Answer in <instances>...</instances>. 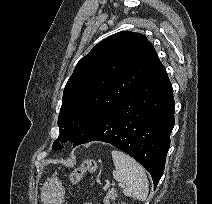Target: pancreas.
Returning a JSON list of instances; mask_svg holds the SVG:
<instances>
[{
    "label": "pancreas",
    "instance_id": "cf45deb5",
    "mask_svg": "<svg viewBox=\"0 0 212 204\" xmlns=\"http://www.w3.org/2000/svg\"><path fill=\"white\" fill-rule=\"evenodd\" d=\"M116 196H117L116 195V190L115 189H110L108 191V193L106 194V197L104 198L103 203L104 204H109V201L110 200H115Z\"/></svg>",
    "mask_w": 212,
    "mask_h": 204
}]
</instances>
